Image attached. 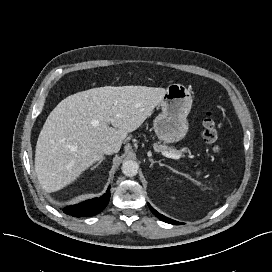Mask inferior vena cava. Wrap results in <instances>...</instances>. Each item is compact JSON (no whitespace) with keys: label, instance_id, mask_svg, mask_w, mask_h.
Returning <instances> with one entry per match:
<instances>
[{"label":"inferior vena cava","instance_id":"inferior-vena-cava-1","mask_svg":"<svg viewBox=\"0 0 272 272\" xmlns=\"http://www.w3.org/2000/svg\"><path fill=\"white\" fill-rule=\"evenodd\" d=\"M101 150L104 154L111 155L119 151L118 146L115 143H104L101 147Z\"/></svg>","mask_w":272,"mask_h":272}]
</instances>
